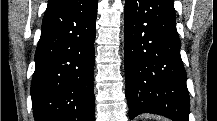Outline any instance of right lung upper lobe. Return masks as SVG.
<instances>
[{
	"mask_svg": "<svg viewBox=\"0 0 217 121\" xmlns=\"http://www.w3.org/2000/svg\"><path fill=\"white\" fill-rule=\"evenodd\" d=\"M63 1H66V0H49L48 4L57 3V2H63Z\"/></svg>",
	"mask_w": 217,
	"mask_h": 121,
	"instance_id": "cb5924a9",
	"label": "right lung upper lobe"
}]
</instances>
